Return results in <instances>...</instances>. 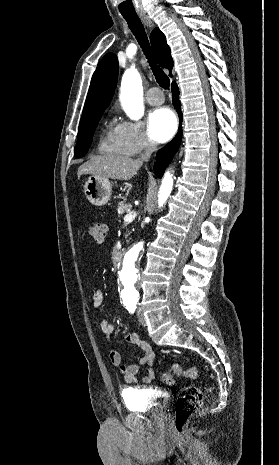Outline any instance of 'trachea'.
<instances>
[{"label":"trachea","mask_w":279,"mask_h":465,"mask_svg":"<svg viewBox=\"0 0 279 465\" xmlns=\"http://www.w3.org/2000/svg\"><path fill=\"white\" fill-rule=\"evenodd\" d=\"M124 19L127 21L129 28L136 37L139 45L141 46L144 54L146 55L149 65L154 73L157 83L164 89H168L170 80L164 71L157 65L156 59L153 56L145 29L137 15L123 14Z\"/></svg>","instance_id":"3493384b"}]
</instances>
